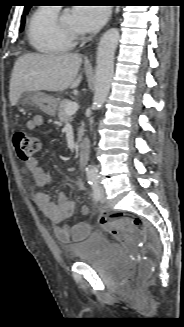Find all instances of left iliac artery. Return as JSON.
<instances>
[{"instance_id": "44dca946", "label": "left iliac artery", "mask_w": 184, "mask_h": 327, "mask_svg": "<svg viewBox=\"0 0 184 327\" xmlns=\"http://www.w3.org/2000/svg\"><path fill=\"white\" fill-rule=\"evenodd\" d=\"M89 184L92 187L93 190V198L95 201L99 200V195H100V191H99V181L97 178H93L91 181H89Z\"/></svg>"}]
</instances>
